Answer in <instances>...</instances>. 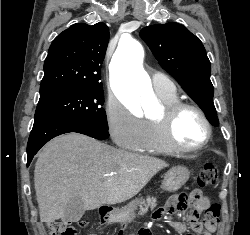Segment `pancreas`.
Wrapping results in <instances>:
<instances>
[{
  "label": "pancreas",
  "mask_w": 250,
  "mask_h": 235,
  "mask_svg": "<svg viewBox=\"0 0 250 235\" xmlns=\"http://www.w3.org/2000/svg\"><path fill=\"white\" fill-rule=\"evenodd\" d=\"M142 205H144V207H143ZM156 205H157V200H156V198H154V197H152V198L148 197V198L146 199V202L143 201V202L141 203L139 214H140V215L145 214V213L147 212V210H148L149 207L154 208V207H156Z\"/></svg>",
  "instance_id": "1"
}]
</instances>
